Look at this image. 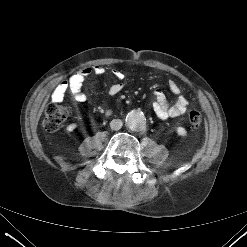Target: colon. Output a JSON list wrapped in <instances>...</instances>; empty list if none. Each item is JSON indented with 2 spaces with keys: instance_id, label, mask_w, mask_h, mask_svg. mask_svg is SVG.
Listing matches in <instances>:
<instances>
[{
  "instance_id": "1",
  "label": "colon",
  "mask_w": 247,
  "mask_h": 247,
  "mask_svg": "<svg viewBox=\"0 0 247 247\" xmlns=\"http://www.w3.org/2000/svg\"><path fill=\"white\" fill-rule=\"evenodd\" d=\"M71 108L60 105L56 102L49 103L45 108V117L43 126L47 132H56L65 120L69 117ZM203 115L199 110H192L188 114V122L192 129H197L201 126Z\"/></svg>"
}]
</instances>
